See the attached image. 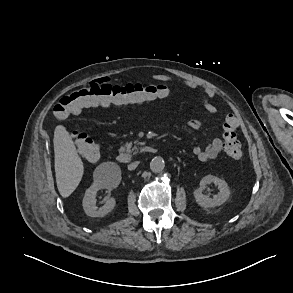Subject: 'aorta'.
Returning a JSON list of instances; mask_svg holds the SVG:
<instances>
[{
    "instance_id": "1",
    "label": "aorta",
    "mask_w": 293,
    "mask_h": 293,
    "mask_svg": "<svg viewBox=\"0 0 293 293\" xmlns=\"http://www.w3.org/2000/svg\"><path fill=\"white\" fill-rule=\"evenodd\" d=\"M165 167V161L161 157H154L150 162V169L154 173H160Z\"/></svg>"
}]
</instances>
